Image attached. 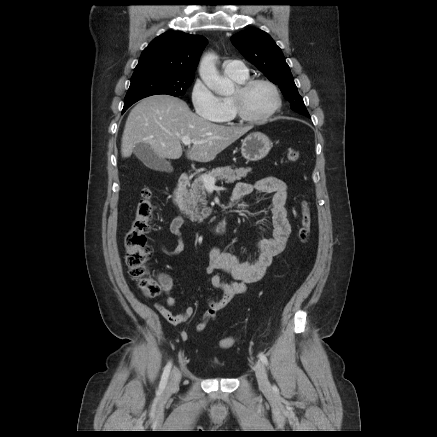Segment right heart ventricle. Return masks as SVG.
<instances>
[{"mask_svg": "<svg viewBox=\"0 0 437 437\" xmlns=\"http://www.w3.org/2000/svg\"><path fill=\"white\" fill-rule=\"evenodd\" d=\"M238 84L246 81L248 79V73L244 76H230ZM224 106V114L218 120L221 123H231L235 119V114L232 108L231 97L221 98Z\"/></svg>", "mask_w": 437, "mask_h": 437, "instance_id": "1", "label": "right heart ventricle"}]
</instances>
